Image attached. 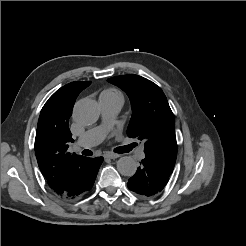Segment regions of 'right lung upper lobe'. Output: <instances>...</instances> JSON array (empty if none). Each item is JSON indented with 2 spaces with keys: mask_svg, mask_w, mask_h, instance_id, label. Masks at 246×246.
I'll use <instances>...</instances> for the list:
<instances>
[{
  "mask_svg": "<svg viewBox=\"0 0 246 246\" xmlns=\"http://www.w3.org/2000/svg\"><path fill=\"white\" fill-rule=\"evenodd\" d=\"M90 81L71 82L57 90L43 106L36 131L35 154L48 185L59 190L67 177L86 158L67 151L73 142L69 118L79 93Z\"/></svg>",
  "mask_w": 246,
  "mask_h": 246,
  "instance_id": "cb5924a9",
  "label": "right lung upper lobe"
}]
</instances>
